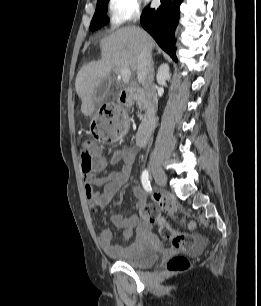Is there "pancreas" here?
<instances>
[{
    "label": "pancreas",
    "instance_id": "pancreas-1",
    "mask_svg": "<svg viewBox=\"0 0 261 306\" xmlns=\"http://www.w3.org/2000/svg\"><path fill=\"white\" fill-rule=\"evenodd\" d=\"M138 107H139L140 111H142V110L144 109L142 102H138ZM138 117H139L140 119L142 118L141 113H138Z\"/></svg>",
    "mask_w": 261,
    "mask_h": 306
}]
</instances>
